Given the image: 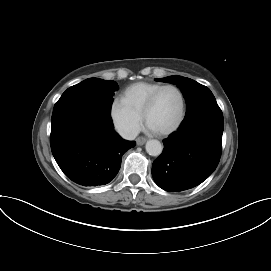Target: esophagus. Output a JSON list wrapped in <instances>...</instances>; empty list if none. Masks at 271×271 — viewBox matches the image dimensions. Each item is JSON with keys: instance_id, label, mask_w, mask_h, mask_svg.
<instances>
[{"instance_id": "esophagus-1", "label": "esophagus", "mask_w": 271, "mask_h": 271, "mask_svg": "<svg viewBox=\"0 0 271 271\" xmlns=\"http://www.w3.org/2000/svg\"><path fill=\"white\" fill-rule=\"evenodd\" d=\"M145 142H146V138H145V137H138V138L136 139V143H137V145H139V146L143 145Z\"/></svg>"}]
</instances>
